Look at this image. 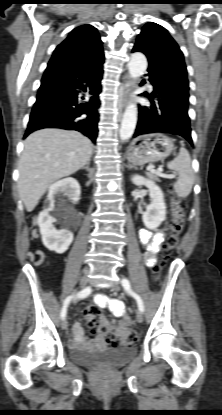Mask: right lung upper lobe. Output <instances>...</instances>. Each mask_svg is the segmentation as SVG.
I'll return each mask as SVG.
<instances>
[{"instance_id":"1","label":"right lung upper lobe","mask_w":222,"mask_h":415,"mask_svg":"<svg viewBox=\"0 0 222 415\" xmlns=\"http://www.w3.org/2000/svg\"><path fill=\"white\" fill-rule=\"evenodd\" d=\"M104 61L102 41L91 25L75 28L57 46L48 64L88 67Z\"/></svg>"}]
</instances>
